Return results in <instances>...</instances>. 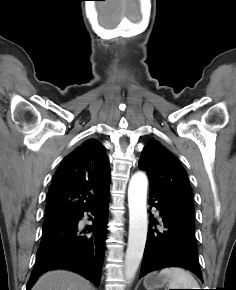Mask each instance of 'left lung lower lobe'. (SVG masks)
Returning <instances> with one entry per match:
<instances>
[{
    "instance_id": "0a47b994",
    "label": "left lung lower lobe",
    "mask_w": 236,
    "mask_h": 290,
    "mask_svg": "<svg viewBox=\"0 0 236 290\" xmlns=\"http://www.w3.org/2000/svg\"><path fill=\"white\" fill-rule=\"evenodd\" d=\"M149 198V204L160 211L165 229H153V223L156 225L158 222L150 216L139 278L151 271L178 266L191 270L203 280L194 236V218L184 213L172 200L154 191H150Z\"/></svg>"
}]
</instances>
